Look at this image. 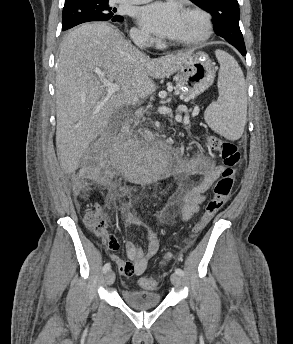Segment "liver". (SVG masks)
Returning a JSON list of instances; mask_svg holds the SVG:
<instances>
[{
  "label": "liver",
  "mask_w": 293,
  "mask_h": 344,
  "mask_svg": "<svg viewBox=\"0 0 293 344\" xmlns=\"http://www.w3.org/2000/svg\"><path fill=\"white\" fill-rule=\"evenodd\" d=\"M191 54L150 59L104 23L85 24L69 33L56 68V148L64 172L77 170L115 110L151 95L156 90L151 77L172 75ZM104 79L119 85L117 94H106Z\"/></svg>",
  "instance_id": "obj_1"
}]
</instances>
